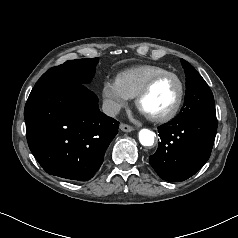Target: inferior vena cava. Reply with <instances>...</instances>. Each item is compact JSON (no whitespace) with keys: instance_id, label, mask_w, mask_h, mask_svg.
Returning <instances> with one entry per match:
<instances>
[{"instance_id":"inferior-vena-cava-1","label":"inferior vena cava","mask_w":238,"mask_h":238,"mask_svg":"<svg viewBox=\"0 0 238 238\" xmlns=\"http://www.w3.org/2000/svg\"><path fill=\"white\" fill-rule=\"evenodd\" d=\"M120 109L121 106L112 100L103 101L102 110L106 115L110 117L116 116L120 112Z\"/></svg>"}]
</instances>
